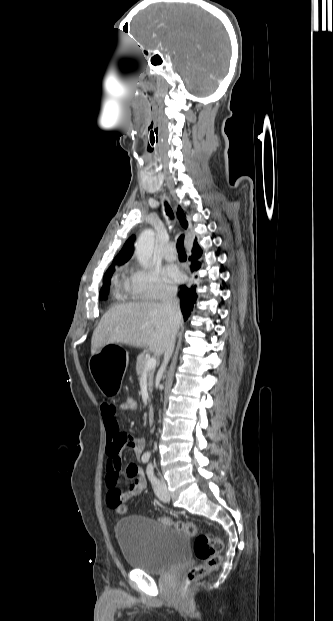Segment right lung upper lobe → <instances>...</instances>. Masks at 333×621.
Here are the masks:
<instances>
[{"label": "right lung upper lobe", "mask_w": 333, "mask_h": 621, "mask_svg": "<svg viewBox=\"0 0 333 621\" xmlns=\"http://www.w3.org/2000/svg\"><path fill=\"white\" fill-rule=\"evenodd\" d=\"M177 217H178V219L180 220L181 225H182L184 228H187V226H188V222H187V218H186V216H185V214H184L183 210H180V211H179V208H178ZM134 241H135V236H134V235H132V236H131V237H130L127 241H126V243L124 244V246H123V248L121 249V251L119 252V254H118V255L114 258V260H113V264H116V265H121V264H123V263L127 262V261L131 258L132 253H133V242H134ZM196 244H197V242H195V243H194V245H196ZM110 267H114V266H113V265H111ZM110 267H109V268H110Z\"/></svg>", "instance_id": "obj_1"}]
</instances>
